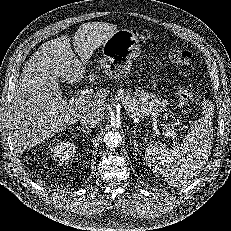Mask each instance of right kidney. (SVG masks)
Here are the masks:
<instances>
[{"instance_id": "obj_1", "label": "right kidney", "mask_w": 231, "mask_h": 231, "mask_svg": "<svg viewBox=\"0 0 231 231\" xmlns=\"http://www.w3.org/2000/svg\"><path fill=\"white\" fill-rule=\"evenodd\" d=\"M76 145L71 141H58L52 147L53 156L60 158L62 161L67 162L76 153Z\"/></svg>"}]
</instances>
